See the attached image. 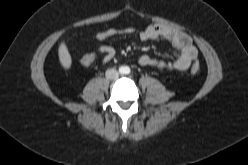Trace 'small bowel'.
I'll return each instance as SVG.
<instances>
[{"mask_svg":"<svg viewBox=\"0 0 248 165\" xmlns=\"http://www.w3.org/2000/svg\"><path fill=\"white\" fill-rule=\"evenodd\" d=\"M134 32L135 28L133 27L109 28L98 32L95 35V41L98 43L95 48V54L102 57L101 62L103 64L109 63L114 59L116 50L110 45H101L99 43L111 37L128 36ZM139 38L142 41L164 40L179 51V55L174 59H160L142 55L139 57L138 62L143 67H153L161 72L185 71L190 68L198 57V50L189 35L166 25H150L140 32Z\"/></svg>","mask_w":248,"mask_h":165,"instance_id":"obj_1","label":"small bowel"}]
</instances>
